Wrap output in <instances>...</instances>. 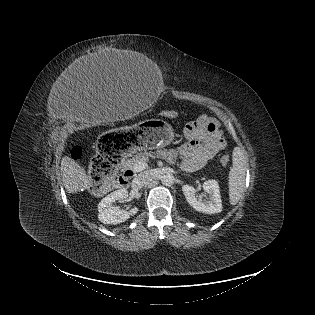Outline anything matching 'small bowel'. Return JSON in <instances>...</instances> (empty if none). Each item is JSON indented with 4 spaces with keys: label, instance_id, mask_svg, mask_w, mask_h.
<instances>
[{
    "label": "small bowel",
    "instance_id": "small-bowel-1",
    "mask_svg": "<svg viewBox=\"0 0 315 315\" xmlns=\"http://www.w3.org/2000/svg\"><path fill=\"white\" fill-rule=\"evenodd\" d=\"M184 138L185 142L178 153L182 159V167L188 171L201 168L226 145L217 121L207 114L186 124Z\"/></svg>",
    "mask_w": 315,
    "mask_h": 315
}]
</instances>
